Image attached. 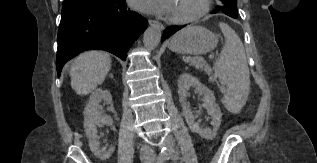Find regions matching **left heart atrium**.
<instances>
[{"instance_id": "1", "label": "left heart atrium", "mask_w": 317, "mask_h": 163, "mask_svg": "<svg viewBox=\"0 0 317 163\" xmlns=\"http://www.w3.org/2000/svg\"><path fill=\"white\" fill-rule=\"evenodd\" d=\"M131 3L138 10L167 15L171 11L173 0H131Z\"/></svg>"}]
</instances>
